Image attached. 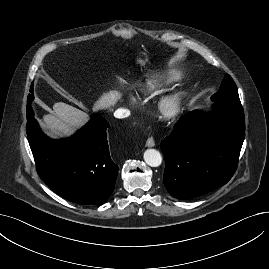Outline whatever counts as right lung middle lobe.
Here are the masks:
<instances>
[{
	"mask_svg": "<svg viewBox=\"0 0 269 269\" xmlns=\"http://www.w3.org/2000/svg\"><path fill=\"white\" fill-rule=\"evenodd\" d=\"M31 92H32V88H31ZM33 100V93L29 95L28 101H32Z\"/></svg>",
	"mask_w": 269,
	"mask_h": 269,
	"instance_id": "1",
	"label": "right lung middle lobe"
}]
</instances>
